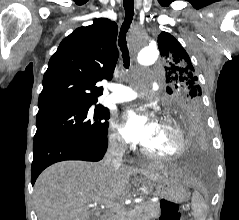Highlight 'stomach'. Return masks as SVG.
Listing matches in <instances>:
<instances>
[{"mask_svg": "<svg viewBox=\"0 0 239 220\" xmlns=\"http://www.w3.org/2000/svg\"><path fill=\"white\" fill-rule=\"evenodd\" d=\"M148 184L153 186L161 197L162 212H160L159 220H185L187 217L185 205L179 204L187 198L188 194L181 182L165 179L156 184Z\"/></svg>", "mask_w": 239, "mask_h": 220, "instance_id": "0dacf381", "label": "stomach"}]
</instances>
